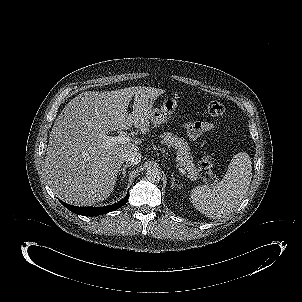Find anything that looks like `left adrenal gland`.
<instances>
[{
  "mask_svg": "<svg viewBox=\"0 0 302 302\" xmlns=\"http://www.w3.org/2000/svg\"><path fill=\"white\" fill-rule=\"evenodd\" d=\"M171 176H172V185H171V187L174 188L175 186H178V185L175 183L174 173H172Z\"/></svg>",
  "mask_w": 302,
  "mask_h": 302,
  "instance_id": "a2214340",
  "label": "left adrenal gland"
}]
</instances>
